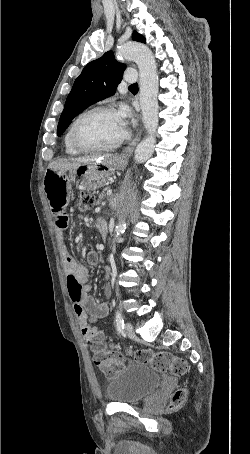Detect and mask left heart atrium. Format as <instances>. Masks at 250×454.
<instances>
[{"instance_id": "obj_1", "label": "left heart atrium", "mask_w": 250, "mask_h": 454, "mask_svg": "<svg viewBox=\"0 0 250 454\" xmlns=\"http://www.w3.org/2000/svg\"><path fill=\"white\" fill-rule=\"evenodd\" d=\"M116 113L119 119L121 120L122 124L125 126L128 118L130 117V111L128 107L123 105L119 108V110Z\"/></svg>"}]
</instances>
